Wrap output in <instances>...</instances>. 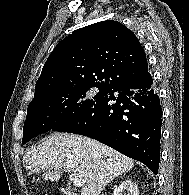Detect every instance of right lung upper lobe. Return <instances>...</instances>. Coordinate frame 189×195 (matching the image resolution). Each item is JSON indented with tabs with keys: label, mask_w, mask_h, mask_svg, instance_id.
<instances>
[{
	"label": "right lung upper lobe",
	"mask_w": 189,
	"mask_h": 195,
	"mask_svg": "<svg viewBox=\"0 0 189 195\" xmlns=\"http://www.w3.org/2000/svg\"><path fill=\"white\" fill-rule=\"evenodd\" d=\"M148 67L135 34L117 21L73 31L59 42L36 82L34 99L75 86L109 88L137 77Z\"/></svg>",
	"instance_id": "cb5924a9"
}]
</instances>
